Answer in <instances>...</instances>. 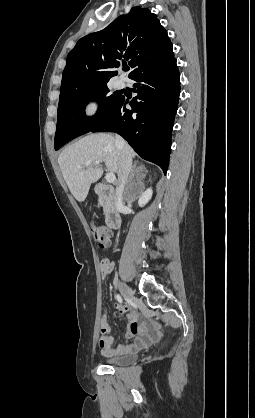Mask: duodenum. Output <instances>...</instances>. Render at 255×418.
<instances>
[{
  "label": "duodenum",
  "mask_w": 255,
  "mask_h": 418,
  "mask_svg": "<svg viewBox=\"0 0 255 418\" xmlns=\"http://www.w3.org/2000/svg\"><path fill=\"white\" fill-rule=\"evenodd\" d=\"M96 193L106 207V223L108 228L115 230L121 225L120 204L112 186L100 183L96 186Z\"/></svg>",
  "instance_id": "duodenum-1"
}]
</instances>
